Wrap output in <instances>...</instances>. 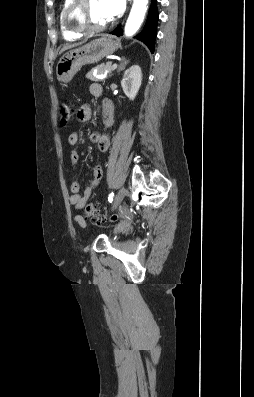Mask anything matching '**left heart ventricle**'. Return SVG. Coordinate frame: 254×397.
I'll list each match as a JSON object with an SVG mask.
<instances>
[{"label": "left heart ventricle", "instance_id": "1", "mask_svg": "<svg viewBox=\"0 0 254 397\" xmlns=\"http://www.w3.org/2000/svg\"><path fill=\"white\" fill-rule=\"evenodd\" d=\"M85 17L87 22L93 26H100L109 22L110 18L106 15L101 5V0H90Z\"/></svg>", "mask_w": 254, "mask_h": 397}]
</instances>
